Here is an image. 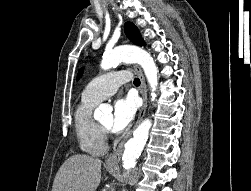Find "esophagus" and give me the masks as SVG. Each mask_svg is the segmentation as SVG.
Masks as SVG:
<instances>
[{
	"label": "esophagus",
	"mask_w": 251,
	"mask_h": 191,
	"mask_svg": "<svg viewBox=\"0 0 251 191\" xmlns=\"http://www.w3.org/2000/svg\"><path fill=\"white\" fill-rule=\"evenodd\" d=\"M135 70L137 71L140 81H141V95H142V99H143V105L139 114V117L135 123V127L141 122V120L143 119L145 112H146V108H147V88H146V82H145V78L143 75V72L141 70V68L139 66L135 67ZM131 135V133L126 134V136L124 137V139L119 143L116 151L113 153L112 156H110L107 161H106V165L109 167H116L119 164L120 158H121V150L122 147L126 141L127 138H129V136Z\"/></svg>",
	"instance_id": "1"
}]
</instances>
